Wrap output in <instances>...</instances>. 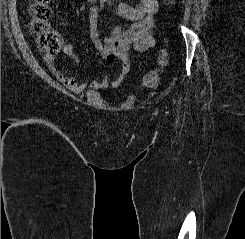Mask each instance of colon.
<instances>
[{
    "label": "colon",
    "instance_id": "1",
    "mask_svg": "<svg viewBox=\"0 0 245 239\" xmlns=\"http://www.w3.org/2000/svg\"><path fill=\"white\" fill-rule=\"evenodd\" d=\"M167 5H172L173 0H165ZM31 16L30 31L35 37L38 49L45 55H53L61 46V37L48 28V21L52 16L50 0H34L29 6ZM169 63V53L162 50L158 58V67L147 73L141 80L146 88H155L160 83L161 73Z\"/></svg>",
    "mask_w": 245,
    "mask_h": 239
}]
</instances>
